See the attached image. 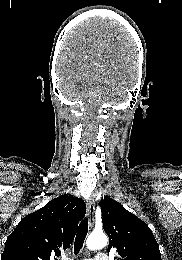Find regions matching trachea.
Instances as JSON below:
<instances>
[{
	"label": "trachea",
	"mask_w": 182,
	"mask_h": 260,
	"mask_svg": "<svg viewBox=\"0 0 182 260\" xmlns=\"http://www.w3.org/2000/svg\"><path fill=\"white\" fill-rule=\"evenodd\" d=\"M88 232V219L85 218L79 224L75 242H74V254L77 255L83 247L86 235Z\"/></svg>",
	"instance_id": "trachea-1"
}]
</instances>
